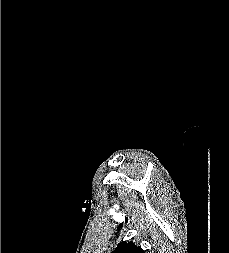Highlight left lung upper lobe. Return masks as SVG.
I'll return each instance as SVG.
<instances>
[{
	"mask_svg": "<svg viewBox=\"0 0 229 253\" xmlns=\"http://www.w3.org/2000/svg\"><path fill=\"white\" fill-rule=\"evenodd\" d=\"M113 253H144L141 247H137L132 242H120Z\"/></svg>",
	"mask_w": 229,
	"mask_h": 253,
	"instance_id": "obj_1",
	"label": "left lung upper lobe"
}]
</instances>
